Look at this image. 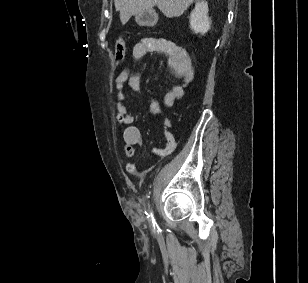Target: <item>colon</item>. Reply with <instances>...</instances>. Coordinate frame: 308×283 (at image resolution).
Wrapping results in <instances>:
<instances>
[{
    "label": "colon",
    "mask_w": 308,
    "mask_h": 283,
    "mask_svg": "<svg viewBox=\"0 0 308 283\" xmlns=\"http://www.w3.org/2000/svg\"><path fill=\"white\" fill-rule=\"evenodd\" d=\"M126 53V44L123 39H119L115 45V58L120 61L123 60Z\"/></svg>",
    "instance_id": "obj_1"
}]
</instances>
